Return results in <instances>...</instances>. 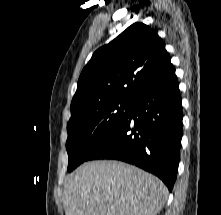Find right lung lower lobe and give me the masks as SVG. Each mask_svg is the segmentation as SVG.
I'll use <instances>...</instances> for the list:
<instances>
[{
    "mask_svg": "<svg viewBox=\"0 0 221 215\" xmlns=\"http://www.w3.org/2000/svg\"><path fill=\"white\" fill-rule=\"evenodd\" d=\"M182 99L174 74L143 91L130 112L87 160L115 159L158 176L172 191L182 138Z\"/></svg>",
    "mask_w": 221,
    "mask_h": 215,
    "instance_id": "1",
    "label": "right lung lower lobe"
}]
</instances>
